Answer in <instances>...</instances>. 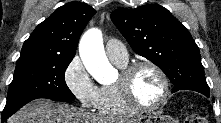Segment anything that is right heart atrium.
I'll use <instances>...</instances> for the list:
<instances>
[{
	"label": "right heart atrium",
	"instance_id": "right-heart-atrium-1",
	"mask_svg": "<svg viewBox=\"0 0 221 123\" xmlns=\"http://www.w3.org/2000/svg\"><path fill=\"white\" fill-rule=\"evenodd\" d=\"M64 81L82 107L96 109L99 87L93 82L79 57H74L67 65Z\"/></svg>",
	"mask_w": 221,
	"mask_h": 123
}]
</instances>
